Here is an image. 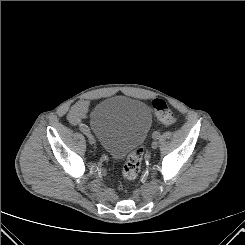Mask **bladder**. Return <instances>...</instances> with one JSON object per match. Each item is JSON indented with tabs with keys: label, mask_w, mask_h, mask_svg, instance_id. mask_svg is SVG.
I'll return each mask as SVG.
<instances>
[{
	"label": "bladder",
	"mask_w": 245,
	"mask_h": 245,
	"mask_svg": "<svg viewBox=\"0 0 245 245\" xmlns=\"http://www.w3.org/2000/svg\"><path fill=\"white\" fill-rule=\"evenodd\" d=\"M151 122V110L145 103L123 96L101 101L89 117L90 129L102 148L114 158L123 157L140 146Z\"/></svg>",
	"instance_id": "31cf9c89"
}]
</instances>
